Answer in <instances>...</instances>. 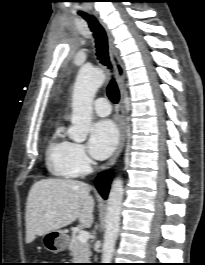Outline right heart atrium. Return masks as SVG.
Masks as SVG:
<instances>
[{"label":"right heart atrium","instance_id":"obj_1","mask_svg":"<svg viewBox=\"0 0 205 265\" xmlns=\"http://www.w3.org/2000/svg\"><path fill=\"white\" fill-rule=\"evenodd\" d=\"M69 164L76 175H84L90 170L92 160L87 155L85 146L83 144H71L69 152Z\"/></svg>","mask_w":205,"mask_h":265}]
</instances>
